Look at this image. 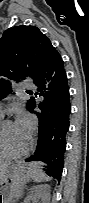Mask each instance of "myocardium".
<instances>
[{
	"label": "myocardium",
	"instance_id": "obj_1",
	"mask_svg": "<svg viewBox=\"0 0 89 203\" xmlns=\"http://www.w3.org/2000/svg\"><path fill=\"white\" fill-rule=\"evenodd\" d=\"M4 125H2L1 129H0V145H1L2 149H3V151H4V155L7 158H19V157L24 156L29 151V149L31 147L32 139L28 140V143H27L26 147L23 150H21L20 152H18V153H7L6 150H5V140H4V134H3Z\"/></svg>",
	"mask_w": 89,
	"mask_h": 203
}]
</instances>
